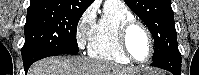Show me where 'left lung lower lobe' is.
Returning a JSON list of instances; mask_svg holds the SVG:
<instances>
[{
  "label": "left lung lower lobe",
  "instance_id": "left-lung-lower-lobe-1",
  "mask_svg": "<svg viewBox=\"0 0 199 75\" xmlns=\"http://www.w3.org/2000/svg\"><path fill=\"white\" fill-rule=\"evenodd\" d=\"M152 66L172 72L174 75H181V54L179 51L173 53L160 61L152 62Z\"/></svg>",
  "mask_w": 199,
  "mask_h": 75
}]
</instances>
